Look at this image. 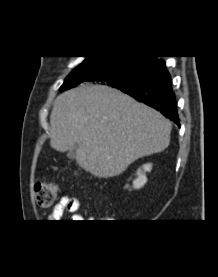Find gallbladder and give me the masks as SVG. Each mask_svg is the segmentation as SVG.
Returning a JSON list of instances; mask_svg holds the SVG:
<instances>
[{"label":"gallbladder","instance_id":"1","mask_svg":"<svg viewBox=\"0 0 218 277\" xmlns=\"http://www.w3.org/2000/svg\"><path fill=\"white\" fill-rule=\"evenodd\" d=\"M77 149L78 144L76 143L75 146L68 151L67 157L71 160H74L76 158Z\"/></svg>","mask_w":218,"mask_h":277}]
</instances>
